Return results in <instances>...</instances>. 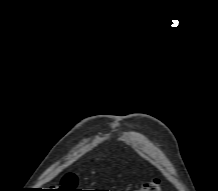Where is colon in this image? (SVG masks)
I'll list each match as a JSON object with an SVG mask.
<instances>
[{
  "label": "colon",
  "instance_id": "colon-1",
  "mask_svg": "<svg viewBox=\"0 0 218 191\" xmlns=\"http://www.w3.org/2000/svg\"><path fill=\"white\" fill-rule=\"evenodd\" d=\"M60 184L64 191H80L78 190L77 178L74 175H65L61 179ZM125 191H162V187L160 180L154 179L138 189Z\"/></svg>",
  "mask_w": 218,
  "mask_h": 191
}]
</instances>
